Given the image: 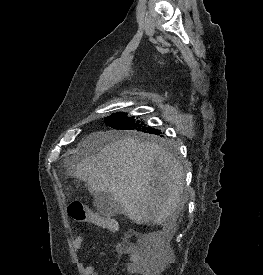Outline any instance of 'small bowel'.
<instances>
[{"instance_id":"small-bowel-1","label":"small bowel","mask_w":263,"mask_h":275,"mask_svg":"<svg viewBox=\"0 0 263 275\" xmlns=\"http://www.w3.org/2000/svg\"><path fill=\"white\" fill-rule=\"evenodd\" d=\"M103 218L108 221H113L105 217ZM93 224L105 229L102 224H98V223H93ZM84 242H85V236L83 234L78 235L73 243L74 250L76 252H80L83 248ZM122 254H125L128 256V262L126 263V272L128 274L147 275L146 272H147V266H148V259L145 253V248L142 245L137 244V245H131V246L125 247L122 250ZM82 272L84 275H98L95 267L91 264L83 263Z\"/></svg>"}]
</instances>
